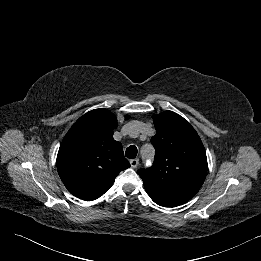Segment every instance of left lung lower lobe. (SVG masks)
<instances>
[{
  "label": "left lung lower lobe",
  "mask_w": 261,
  "mask_h": 261,
  "mask_svg": "<svg viewBox=\"0 0 261 261\" xmlns=\"http://www.w3.org/2000/svg\"><path fill=\"white\" fill-rule=\"evenodd\" d=\"M145 190L150 198L158 205L163 207H176L186 203L191 198L177 193L159 191L152 188H146Z\"/></svg>",
  "instance_id": "obj_1"
}]
</instances>
